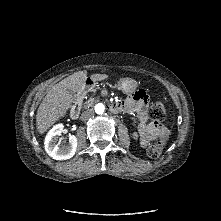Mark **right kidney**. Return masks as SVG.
<instances>
[{"instance_id": "1", "label": "right kidney", "mask_w": 221, "mask_h": 221, "mask_svg": "<svg viewBox=\"0 0 221 221\" xmlns=\"http://www.w3.org/2000/svg\"><path fill=\"white\" fill-rule=\"evenodd\" d=\"M63 127L62 124L54 126L45 138V150L55 160L70 159L74 156L77 149V138L74 135L70 136L68 146L57 143Z\"/></svg>"}]
</instances>
